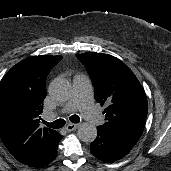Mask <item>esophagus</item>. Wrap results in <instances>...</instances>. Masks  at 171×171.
I'll return each instance as SVG.
<instances>
[{
	"label": "esophagus",
	"mask_w": 171,
	"mask_h": 171,
	"mask_svg": "<svg viewBox=\"0 0 171 171\" xmlns=\"http://www.w3.org/2000/svg\"><path fill=\"white\" fill-rule=\"evenodd\" d=\"M78 127H79L78 124L69 123V124L65 127V129H66L68 132H71V131L76 130Z\"/></svg>",
	"instance_id": "1"
}]
</instances>
